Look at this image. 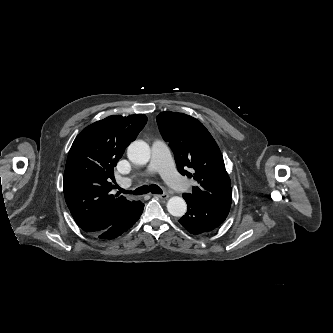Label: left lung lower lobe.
I'll use <instances>...</instances> for the list:
<instances>
[{
    "label": "left lung lower lobe",
    "mask_w": 333,
    "mask_h": 333,
    "mask_svg": "<svg viewBox=\"0 0 333 333\" xmlns=\"http://www.w3.org/2000/svg\"><path fill=\"white\" fill-rule=\"evenodd\" d=\"M187 203V213L179 223L193 235L210 232L221 225L228 216L229 210L207 206L188 195H183Z\"/></svg>",
    "instance_id": "0a47b994"
}]
</instances>
